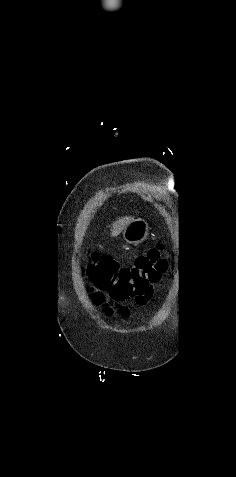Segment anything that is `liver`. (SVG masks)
I'll use <instances>...</instances> for the list:
<instances>
[{"label":"liver","instance_id":"obj_1","mask_svg":"<svg viewBox=\"0 0 236 477\" xmlns=\"http://www.w3.org/2000/svg\"><path fill=\"white\" fill-rule=\"evenodd\" d=\"M133 220L131 217H123L121 219H118L116 222L113 223L112 229H111V235L113 237L118 236L125 228L126 226Z\"/></svg>","mask_w":236,"mask_h":477}]
</instances>
